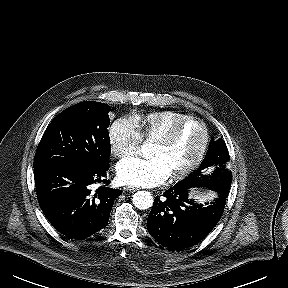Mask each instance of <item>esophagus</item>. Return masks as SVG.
<instances>
[{
	"instance_id": "1",
	"label": "esophagus",
	"mask_w": 288,
	"mask_h": 288,
	"mask_svg": "<svg viewBox=\"0 0 288 288\" xmlns=\"http://www.w3.org/2000/svg\"><path fill=\"white\" fill-rule=\"evenodd\" d=\"M124 190L127 191V192H135V191L138 190V188L128 186V187H124Z\"/></svg>"
}]
</instances>
